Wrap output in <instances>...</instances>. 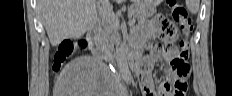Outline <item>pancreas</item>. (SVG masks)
Listing matches in <instances>:
<instances>
[{
    "label": "pancreas",
    "mask_w": 232,
    "mask_h": 96,
    "mask_svg": "<svg viewBox=\"0 0 232 96\" xmlns=\"http://www.w3.org/2000/svg\"><path fill=\"white\" fill-rule=\"evenodd\" d=\"M156 11L154 6L133 5L128 9L129 17L134 19H143L152 16ZM103 30L98 39V45L102 49L112 50L115 44L120 43L121 37L119 34L118 18L105 17L102 21Z\"/></svg>",
    "instance_id": "pancreas-1"
}]
</instances>
